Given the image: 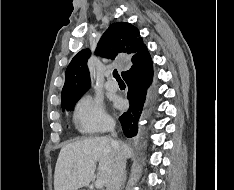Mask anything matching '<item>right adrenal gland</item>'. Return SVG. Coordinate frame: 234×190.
<instances>
[{
    "instance_id": "2a0ac1e0",
    "label": "right adrenal gland",
    "mask_w": 234,
    "mask_h": 190,
    "mask_svg": "<svg viewBox=\"0 0 234 190\" xmlns=\"http://www.w3.org/2000/svg\"><path fill=\"white\" fill-rule=\"evenodd\" d=\"M125 180H126V175L124 176L123 185H124V183H125Z\"/></svg>"
}]
</instances>
